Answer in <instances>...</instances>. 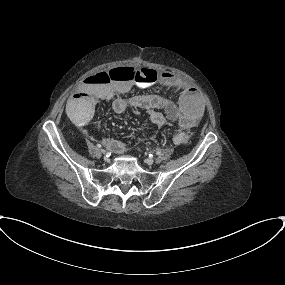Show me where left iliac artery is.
Here are the masks:
<instances>
[{
	"label": "left iliac artery",
	"instance_id": "obj_1",
	"mask_svg": "<svg viewBox=\"0 0 285 285\" xmlns=\"http://www.w3.org/2000/svg\"><path fill=\"white\" fill-rule=\"evenodd\" d=\"M156 154H157V155H160V154H161V152H160V151H157V152H156Z\"/></svg>",
	"mask_w": 285,
	"mask_h": 285
}]
</instances>
